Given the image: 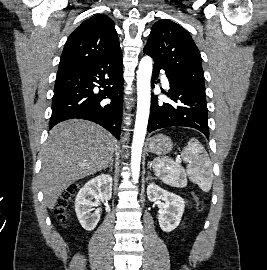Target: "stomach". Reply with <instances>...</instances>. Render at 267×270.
Wrapping results in <instances>:
<instances>
[{
  "label": "stomach",
  "instance_id": "obj_1",
  "mask_svg": "<svg viewBox=\"0 0 267 270\" xmlns=\"http://www.w3.org/2000/svg\"><path fill=\"white\" fill-rule=\"evenodd\" d=\"M172 148L173 142L171 138L164 134H157L147 142L148 151L157 155L167 154L172 150Z\"/></svg>",
  "mask_w": 267,
  "mask_h": 270
}]
</instances>
